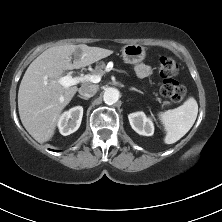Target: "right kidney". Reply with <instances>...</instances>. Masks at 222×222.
<instances>
[{"mask_svg": "<svg viewBox=\"0 0 222 222\" xmlns=\"http://www.w3.org/2000/svg\"><path fill=\"white\" fill-rule=\"evenodd\" d=\"M83 117V107L76 106L65 111L58 119L59 132L63 136L70 135L78 130Z\"/></svg>", "mask_w": 222, "mask_h": 222, "instance_id": "ca27d5eb", "label": "right kidney"}]
</instances>
